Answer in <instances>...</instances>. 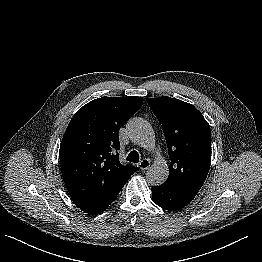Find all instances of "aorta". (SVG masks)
I'll return each instance as SVG.
<instances>
[{"label":"aorta","instance_id":"762f6f07","mask_svg":"<svg viewBox=\"0 0 262 262\" xmlns=\"http://www.w3.org/2000/svg\"><path fill=\"white\" fill-rule=\"evenodd\" d=\"M127 131L130 139L135 144L145 148H155V135L148 122L140 118H133L127 123ZM169 175V167L164 159L158 157L153 165L148 168L146 180L152 186H160Z\"/></svg>","mask_w":262,"mask_h":262}]
</instances>
